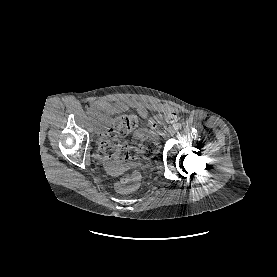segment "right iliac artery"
Instances as JSON below:
<instances>
[{
    "label": "right iliac artery",
    "mask_w": 277,
    "mask_h": 277,
    "mask_svg": "<svg viewBox=\"0 0 277 277\" xmlns=\"http://www.w3.org/2000/svg\"><path fill=\"white\" fill-rule=\"evenodd\" d=\"M88 117H89V120L92 122L93 125L97 124L96 119L94 118V116L91 113L88 114Z\"/></svg>",
    "instance_id": "right-iliac-artery-1"
}]
</instances>
